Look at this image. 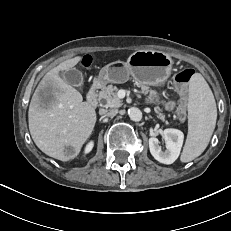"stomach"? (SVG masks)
Segmentation results:
<instances>
[{
    "label": "stomach",
    "instance_id": "stomach-1",
    "mask_svg": "<svg viewBox=\"0 0 231 231\" xmlns=\"http://www.w3.org/2000/svg\"><path fill=\"white\" fill-rule=\"evenodd\" d=\"M173 60L162 51L138 50L126 62L115 61L102 68L100 80L106 83H124L130 76L144 85L158 86L171 73Z\"/></svg>",
    "mask_w": 231,
    "mask_h": 231
}]
</instances>
